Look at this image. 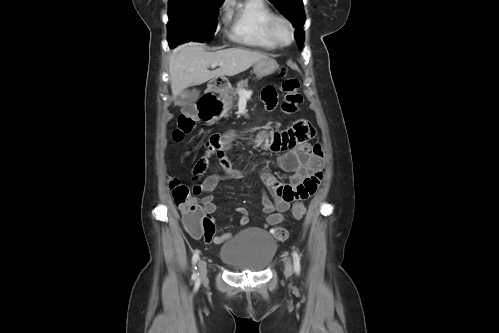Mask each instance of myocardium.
Wrapping results in <instances>:
<instances>
[{"label":"myocardium","mask_w":499,"mask_h":333,"mask_svg":"<svg viewBox=\"0 0 499 333\" xmlns=\"http://www.w3.org/2000/svg\"><path fill=\"white\" fill-rule=\"evenodd\" d=\"M283 23L287 27V38H281L277 33V25ZM268 31L272 39L281 46H287L294 40V27L292 22L283 15H274L268 23Z\"/></svg>","instance_id":"obj_1"}]
</instances>
